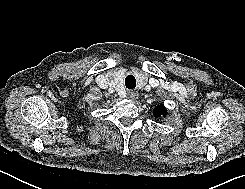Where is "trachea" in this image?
Returning a JSON list of instances; mask_svg holds the SVG:
<instances>
[{"instance_id": "3493384b", "label": "trachea", "mask_w": 245, "mask_h": 189, "mask_svg": "<svg viewBox=\"0 0 245 189\" xmlns=\"http://www.w3.org/2000/svg\"><path fill=\"white\" fill-rule=\"evenodd\" d=\"M125 85H126L127 89L134 90L135 87H136V79H135V77L133 75H128L125 78Z\"/></svg>"}]
</instances>
